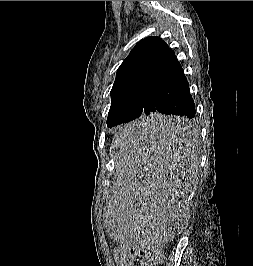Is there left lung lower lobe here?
I'll return each instance as SVG.
<instances>
[{"label":"left lung lower lobe","mask_w":253,"mask_h":266,"mask_svg":"<svg viewBox=\"0 0 253 266\" xmlns=\"http://www.w3.org/2000/svg\"><path fill=\"white\" fill-rule=\"evenodd\" d=\"M154 112L183 118L162 121L154 116ZM195 114L184 70L169 48L150 82L142 110L144 119L138 122V126L163 138L182 136L189 131L187 119Z\"/></svg>","instance_id":"0a47b994"}]
</instances>
